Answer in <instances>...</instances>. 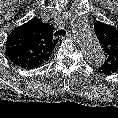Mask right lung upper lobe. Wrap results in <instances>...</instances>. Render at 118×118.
Masks as SVG:
<instances>
[{"label":"right lung upper lobe","mask_w":118,"mask_h":118,"mask_svg":"<svg viewBox=\"0 0 118 118\" xmlns=\"http://www.w3.org/2000/svg\"><path fill=\"white\" fill-rule=\"evenodd\" d=\"M54 28L40 19H31L15 28L7 37L6 54L10 61L22 68H36L47 61L58 39Z\"/></svg>","instance_id":"1"}]
</instances>
